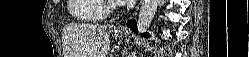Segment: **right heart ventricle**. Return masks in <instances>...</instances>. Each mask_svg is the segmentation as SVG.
Here are the masks:
<instances>
[{"label": "right heart ventricle", "instance_id": "e07e8e85", "mask_svg": "<svg viewBox=\"0 0 249 57\" xmlns=\"http://www.w3.org/2000/svg\"><path fill=\"white\" fill-rule=\"evenodd\" d=\"M68 11L72 18L81 21H98L106 15L103 0H69Z\"/></svg>", "mask_w": 249, "mask_h": 57}]
</instances>
